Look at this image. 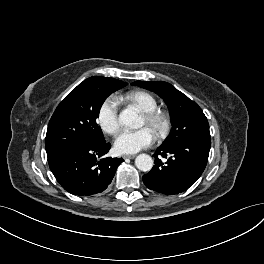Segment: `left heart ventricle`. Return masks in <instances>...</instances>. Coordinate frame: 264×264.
<instances>
[{
    "label": "left heart ventricle",
    "mask_w": 264,
    "mask_h": 264,
    "mask_svg": "<svg viewBox=\"0 0 264 264\" xmlns=\"http://www.w3.org/2000/svg\"><path fill=\"white\" fill-rule=\"evenodd\" d=\"M140 124H141V126H147V123H146L144 117L141 118V123Z\"/></svg>",
    "instance_id": "obj_1"
}]
</instances>
